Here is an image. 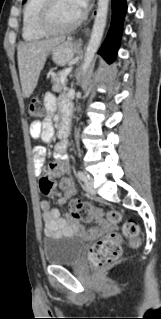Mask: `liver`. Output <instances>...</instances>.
<instances>
[{
    "label": "liver",
    "instance_id": "1",
    "mask_svg": "<svg viewBox=\"0 0 161 319\" xmlns=\"http://www.w3.org/2000/svg\"><path fill=\"white\" fill-rule=\"evenodd\" d=\"M61 41V38H52L18 45V68L24 98L33 93L48 53Z\"/></svg>",
    "mask_w": 161,
    "mask_h": 319
}]
</instances>
